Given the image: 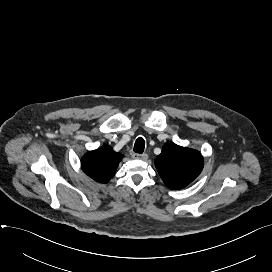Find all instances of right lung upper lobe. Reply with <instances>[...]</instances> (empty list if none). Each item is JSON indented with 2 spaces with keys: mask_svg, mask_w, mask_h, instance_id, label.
I'll return each instance as SVG.
<instances>
[{
  "mask_svg": "<svg viewBox=\"0 0 272 272\" xmlns=\"http://www.w3.org/2000/svg\"><path fill=\"white\" fill-rule=\"evenodd\" d=\"M123 155L113 151L109 145L86 153L82 160V170L97 182L107 183L115 174Z\"/></svg>",
  "mask_w": 272,
  "mask_h": 272,
  "instance_id": "1",
  "label": "right lung upper lobe"
}]
</instances>
